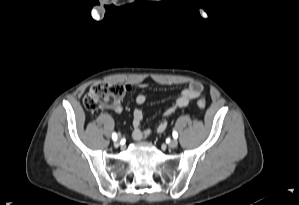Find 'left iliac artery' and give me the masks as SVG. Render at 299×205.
<instances>
[{"mask_svg": "<svg viewBox=\"0 0 299 205\" xmlns=\"http://www.w3.org/2000/svg\"><path fill=\"white\" fill-rule=\"evenodd\" d=\"M173 137L175 138V139H177V137H178V133L176 132V131H173Z\"/></svg>", "mask_w": 299, "mask_h": 205, "instance_id": "left-iliac-artery-1", "label": "left iliac artery"}]
</instances>
